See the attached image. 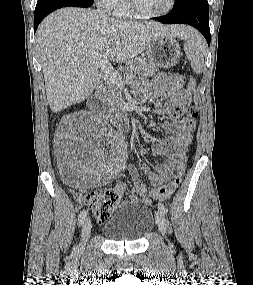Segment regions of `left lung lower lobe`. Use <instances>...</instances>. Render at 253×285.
<instances>
[{
    "label": "left lung lower lobe",
    "instance_id": "0a47b994",
    "mask_svg": "<svg viewBox=\"0 0 253 285\" xmlns=\"http://www.w3.org/2000/svg\"><path fill=\"white\" fill-rule=\"evenodd\" d=\"M174 10L165 16L153 18L161 23L189 24L198 29L210 45L209 7L207 0H176Z\"/></svg>",
    "mask_w": 253,
    "mask_h": 285
}]
</instances>
